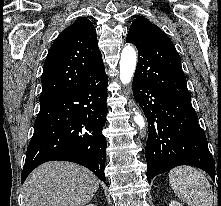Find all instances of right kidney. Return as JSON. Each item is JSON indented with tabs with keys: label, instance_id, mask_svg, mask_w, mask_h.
Segmentation results:
<instances>
[{
	"label": "right kidney",
	"instance_id": "obj_1",
	"mask_svg": "<svg viewBox=\"0 0 221 206\" xmlns=\"http://www.w3.org/2000/svg\"><path fill=\"white\" fill-rule=\"evenodd\" d=\"M86 206H96V205H94V204H88V205H86Z\"/></svg>",
	"mask_w": 221,
	"mask_h": 206
}]
</instances>
